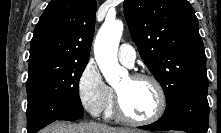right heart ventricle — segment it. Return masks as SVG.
I'll return each instance as SVG.
<instances>
[{"instance_id": "e07e8e85", "label": "right heart ventricle", "mask_w": 221, "mask_h": 133, "mask_svg": "<svg viewBox=\"0 0 221 133\" xmlns=\"http://www.w3.org/2000/svg\"><path fill=\"white\" fill-rule=\"evenodd\" d=\"M113 112H114V108H113V101H112V103L110 104L109 108H108L107 111H106V114H107L108 116H112V115H113Z\"/></svg>"}]
</instances>
